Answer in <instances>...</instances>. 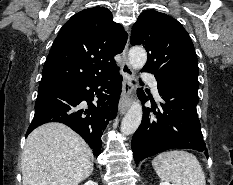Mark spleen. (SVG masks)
<instances>
[{
	"label": "spleen",
	"instance_id": "spleen-1",
	"mask_svg": "<svg viewBox=\"0 0 233 185\" xmlns=\"http://www.w3.org/2000/svg\"><path fill=\"white\" fill-rule=\"evenodd\" d=\"M152 166L162 181L172 182V185H206L198 159L189 152H163L152 160Z\"/></svg>",
	"mask_w": 233,
	"mask_h": 185
}]
</instances>
